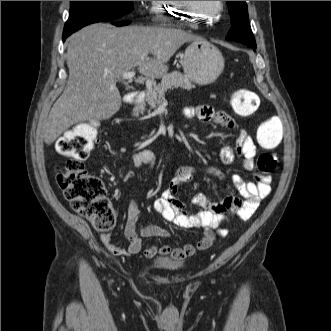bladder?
<instances>
[{
    "instance_id": "obj_1",
    "label": "bladder",
    "mask_w": 331,
    "mask_h": 331,
    "mask_svg": "<svg viewBox=\"0 0 331 331\" xmlns=\"http://www.w3.org/2000/svg\"><path fill=\"white\" fill-rule=\"evenodd\" d=\"M155 267L161 270L174 271L183 267L184 263L180 260H175L167 256L157 257L153 260Z\"/></svg>"
}]
</instances>
